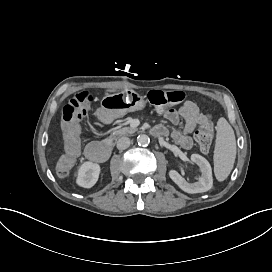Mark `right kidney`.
<instances>
[{
    "mask_svg": "<svg viewBox=\"0 0 272 272\" xmlns=\"http://www.w3.org/2000/svg\"><path fill=\"white\" fill-rule=\"evenodd\" d=\"M100 166L96 163L85 162L78 170L77 184L84 188H91L99 178Z\"/></svg>",
    "mask_w": 272,
    "mask_h": 272,
    "instance_id": "ca27d5eb",
    "label": "right kidney"
}]
</instances>
